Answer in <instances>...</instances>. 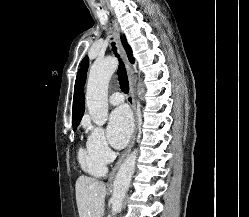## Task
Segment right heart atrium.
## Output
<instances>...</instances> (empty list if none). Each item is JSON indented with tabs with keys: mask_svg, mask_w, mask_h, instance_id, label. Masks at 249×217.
I'll return each instance as SVG.
<instances>
[{
	"mask_svg": "<svg viewBox=\"0 0 249 217\" xmlns=\"http://www.w3.org/2000/svg\"><path fill=\"white\" fill-rule=\"evenodd\" d=\"M86 129L88 149L103 163H109L113 158V152L108 146L104 130L89 123L86 124Z\"/></svg>",
	"mask_w": 249,
	"mask_h": 217,
	"instance_id": "obj_1",
	"label": "right heart atrium"
}]
</instances>
